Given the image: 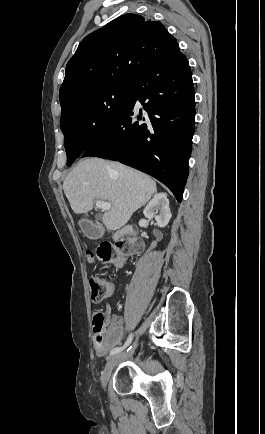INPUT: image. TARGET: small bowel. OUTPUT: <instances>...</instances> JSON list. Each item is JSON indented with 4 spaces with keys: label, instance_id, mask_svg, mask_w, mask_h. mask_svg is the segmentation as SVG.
<instances>
[{
    "label": "small bowel",
    "instance_id": "1",
    "mask_svg": "<svg viewBox=\"0 0 265 434\" xmlns=\"http://www.w3.org/2000/svg\"><path fill=\"white\" fill-rule=\"evenodd\" d=\"M105 313L108 315V322L102 346H100V341L99 344H96V341L94 343L95 346H97L95 347L96 355L100 357L104 356L109 350L116 347L124 335V318L119 315H111V308L109 306L106 307Z\"/></svg>",
    "mask_w": 265,
    "mask_h": 434
}]
</instances>
